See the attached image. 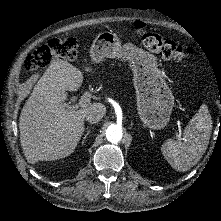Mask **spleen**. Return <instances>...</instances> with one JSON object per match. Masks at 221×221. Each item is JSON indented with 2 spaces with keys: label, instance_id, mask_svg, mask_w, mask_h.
Returning <instances> with one entry per match:
<instances>
[{
  "label": "spleen",
  "instance_id": "spleen-1",
  "mask_svg": "<svg viewBox=\"0 0 221 221\" xmlns=\"http://www.w3.org/2000/svg\"><path fill=\"white\" fill-rule=\"evenodd\" d=\"M211 132L212 118L208 107L203 104L185 127L182 137L164 142L161 147L162 154L173 169L188 171L205 153Z\"/></svg>",
  "mask_w": 221,
  "mask_h": 221
}]
</instances>
